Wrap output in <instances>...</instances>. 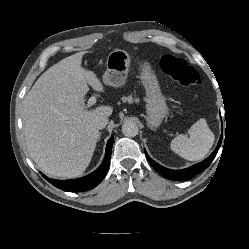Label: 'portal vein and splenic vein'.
<instances>
[{
	"instance_id": "18ae733b",
	"label": "portal vein and splenic vein",
	"mask_w": 249,
	"mask_h": 249,
	"mask_svg": "<svg viewBox=\"0 0 249 249\" xmlns=\"http://www.w3.org/2000/svg\"><path fill=\"white\" fill-rule=\"evenodd\" d=\"M95 102H96V97H95V96H92V97H90V99L88 100L87 106L90 107V106H92L93 104H95Z\"/></svg>"
}]
</instances>
